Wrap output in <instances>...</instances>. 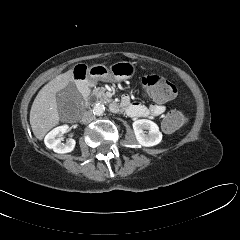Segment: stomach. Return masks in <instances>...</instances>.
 <instances>
[{"instance_id":"stomach-1","label":"stomach","mask_w":240,"mask_h":240,"mask_svg":"<svg viewBox=\"0 0 240 240\" xmlns=\"http://www.w3.org/2000/svg\"><path fill=\"white\" fill-rule=\"evenodd\" d=\"M134 73V63L127 61L116 62L112 64L109 68L104 65L98 64L88 69V77L91 83H95L97 81H122L132 77Z\"/></svg>"}]
</instances>
